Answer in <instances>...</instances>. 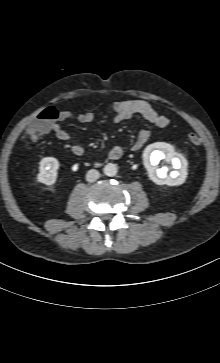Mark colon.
<instances>
[{
	"instance_id": "colon-1",
	"label": "colon",
	"mask_w": 220,
	"mask_h": 363,
	"mask_svg": "<svg viewBox=\"0 0 220 363\" xmlns=\"http://www.w3.org/2000/svg\"><path fill=\"white\" fill-rule=\"evenodd\" d=\"M59 118L57 109L48 106L41 110L37 117L33 119L26 127V135L29 139H37L52 129V125ZM188 140L193 145H199L201 138L195 133L188 134Z\"/></svg>"
}]
</instances>
